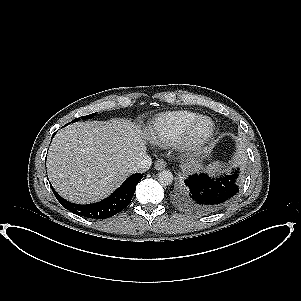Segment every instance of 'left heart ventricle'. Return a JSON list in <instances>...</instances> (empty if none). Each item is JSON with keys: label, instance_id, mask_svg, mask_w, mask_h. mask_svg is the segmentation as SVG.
<instances>
[{"label": "left heart ventricle", "instance_id": "1", "mask_svg": "<svg viewBox=\"0 0 301 301\" xmlns=\"http://www.w3.org/2000/svg\"><path fill=\"white\" fill-rule=\"evenodd\" d=\"M207 130H208V124L202 123L198 126V128L196 130V134L198 136H202L207 132Z\"/></svg>", "mask_w": 301, "mask_h": 301}]
</instances>
